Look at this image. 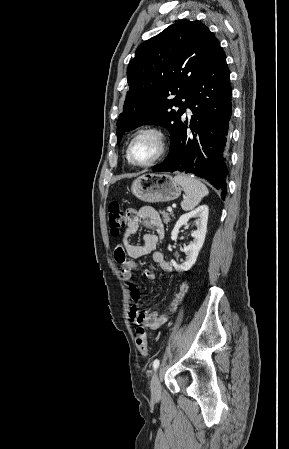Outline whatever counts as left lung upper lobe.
Instances as JSON below:
<instances>
[{"label":"left lung upper lobe","instance_id":"5c2ea615","mask_svg":"<svg viewBox=\"0 0 289 449\" xmlns=\"http://www.w3.org/2000/svg\"><path fill=\"white\" fill-rule=\"evenodd\" d=\"M219 47L204 24L186 19L141 44L127 69L130 88L117 121L118 143L123 132L147 123L164 126L172 138L193 84Z\"/></svg>","mask_w":289,"mask_h":449}]
</instances>
